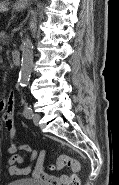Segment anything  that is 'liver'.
<instances>
[{"mask_svg":"<svg viewBox=\"0 0 119 185\" xmlns=\"http://www.w3.org/2000/svg\"><path fill=\"white\" fill-rule=\"evenodd\" d=\"M7 7H5L3 4H0V11H7Z\"/></svg>","mask_w":119,"mask_h":185,"instance_id":"6515ba94","label":"liver"}]
</instances>
